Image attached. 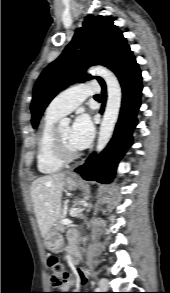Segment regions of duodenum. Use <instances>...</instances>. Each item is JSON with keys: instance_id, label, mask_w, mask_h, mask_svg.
<instances>
[{"instance_id": "410a0bca", "label": "duodenum", "mask_w": 170, "mask_h": 293, "mask_svg": "<svg viewBox=\"0 0 170 293\" xmlns=\"http://www.w3.org/2000/svg\"><path fill=\"white\" fill-rule=\"evenodd\" d=\"M69 253H70L71 258L75 261L78 257V251H77L75 241L71 242V244L69 246Z\"/></svg>"}]
</instances>
